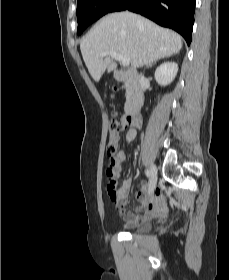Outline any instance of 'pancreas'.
<instances>
[{"instance_id":"obj_1","label":"pancreas","mask_w":229,"mask_h":280,"mask_svg":"<svg viewBox=\"0 0 229 280\" xmlns=\"http://www.w3.org/2000/svg\"><path fill=\"white\" fill-rule=\"evenodd\" d=\"M126 89H127V96L129 97L131 94V89L128 85L126 86Z\"/></svg>"}]
</instances>
